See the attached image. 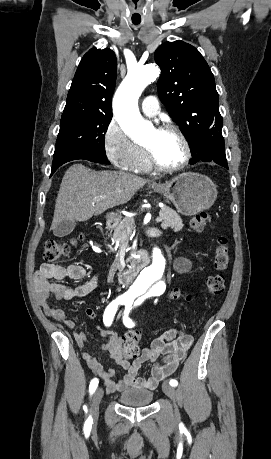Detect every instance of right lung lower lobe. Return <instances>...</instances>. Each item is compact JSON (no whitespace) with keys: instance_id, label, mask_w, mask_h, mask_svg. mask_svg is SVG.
<instances>
[{"instance_id":"1","label":"right lung lower lobe","mask_w":271,"mask_h":459,"mask_svg":"<svg viewBox=\"0 0 271 459\" xmlns=\"http://www.w3.org/2000/svg\"><path fill=\"white\" fill-rule=\"evenodd\" d=\"M77 159H85L92 162L109 164L105 154L89 152L85 150H73L54 158L51 176L62 164Z\"/></svg>"}]
</instances>
